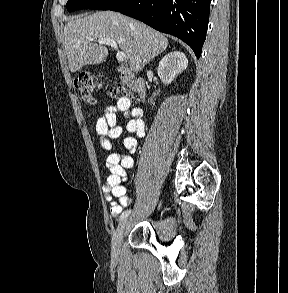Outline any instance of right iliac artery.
Returning a JSON list of instances; mask_svg holds the SVG:
<instances>
[{
    "label": "right iliac artery",
    "mask_w": 288,
    "mask_h": 293,
    "mask_svg": "<svg viewBox=\"0 0 288 293\" xmlns=\"http://www.w3.org/2000/svg\"><path fill=\"white\" fill-rule=\"evenodd\" d=\"M130 213H131V210H127L123 212L119 218V221H122L123 219H125Z\"/></svg>",
    "instance_id": "obj_1"
}]
</instances>
